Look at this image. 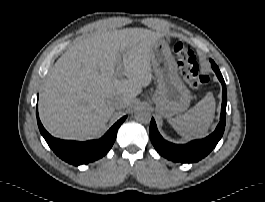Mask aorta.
<instances>
[{"label":"aorta","mask_w":265,"mask_h":202,"mask_svg":"<svg viewBox=\"0 0 265 202\" xmlns=\"http://www.w3.org/2000/svg\"><path fill=\"white\" fill-rule=\"evenodd\" d=\"M135 119L141 123H149L151 120V113L146 106H139L135 111Z\"/></svg>","instance_id":"aorta-1"}]
</instances>
